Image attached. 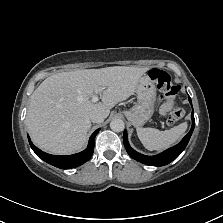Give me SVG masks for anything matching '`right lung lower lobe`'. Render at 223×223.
<instances>
[{
    "label": "right lung lower lobe",
    "mask_w": 223,
    "mask_h": 223,
    "mask_svg": "<svg viewBox=\"0 0 223 223\" xmlns=\"http://www.w3.org/2000/svg\"><path fill=\"white\" fill-rule=\"evenodd\" d=\"M100 129H97L90 137L89 139V144L86 150L73 154V155H68V156H57V155H50L45 152H42L40 149H38L36 146L33 145V143L30 140V137L28 136L29 144L33 151L36 153V155L44 160L45 162L61 168V169H70V168H75L86 161H88L94 151V139L97 133L99 132Z\"/></svg>",
    "instance_id": "1"
}]
</instances>
